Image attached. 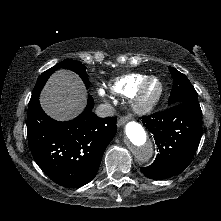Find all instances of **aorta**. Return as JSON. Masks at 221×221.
I'll use <instances>...</instances> for the list:
<instances>
[{"instance_id": "1", "label": "aorta", "mask_w": 221, "mask_h": 221, "mask_svg": "<svg viewBox=\"0 0 221 221\" xmlns=\"http://www.w3.org/2000/svg\"><path fill=\"white\" fill-rule=\"evenodd\" d=\"M126 144L135 157L141 162H148L153 155V145L144 128L135 121H130L125 126Z\"/></svg>"}]
</instances>
